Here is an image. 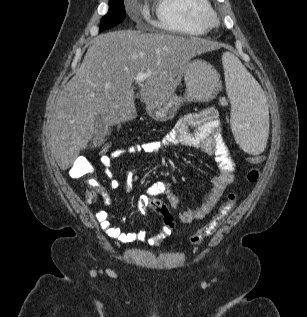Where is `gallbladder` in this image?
I'll use <instances>...</instances> for the list:
<instances>
[{
    "instance_id": "bac80fb5",
    "label": "gallbladder",
    "mask_w": 307,
    "mask_h": 317,
    "mask_svg": "<svg viewBox=\"0 0 307 317\" xmlns=\"http://www.w3.org/2000/svg\"><path fill=\"white\" fill-rule=\"evenodd\" d=\"M109 132V126L105 122V117L103 114L97 115L94 124V138L92 146H100L105 141V138Z\"/></svg>"
}]
</instances>
